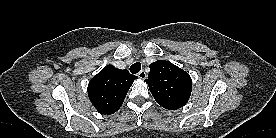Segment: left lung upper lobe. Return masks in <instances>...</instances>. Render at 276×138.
Returning <instances> with one entry per match:
<instances>
[{
    "label": "left lung upper lobe",
    "mask_w": 276,
    "mask_h": 138,
    "mask_svg": "<svg viewBox=\"0 0 276 138\" xmlns=\"http://www.w3.org/2000/svg\"><path fill=\"white\" fill-rule=\"evenodd\" d=\"M149 68L151 71L145 82L159 105L176 110L188 102L192 80L187 72L165 60H158Z\"/></svg>",
    "instance_id": "5c2ea615"
}]
</instances>
